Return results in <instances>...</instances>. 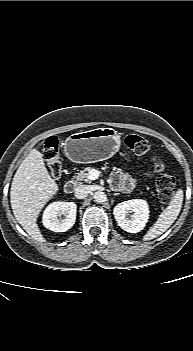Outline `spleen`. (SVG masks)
Listing matches in <instances>:
<instances>
[{"label":"spleen","mask_w":193,"mask_h":351,"mask_svg":"<svg viewBox=\"0 0 193 351\" xmlns=\"http://www.w3.org/2000/svg\"><path fill=\"white\" fill-rule=\"evenodd\" d=\"M183 202V190L179 189L173 196L167 208L159 215V218L143 236L144 241L152 240L163 234L177 219Z\"/></svg>","instance_id":"spleen-1"}]
</instances>
